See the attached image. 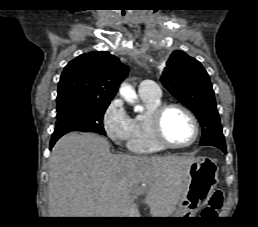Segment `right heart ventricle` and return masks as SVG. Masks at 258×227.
<instances>
[{
  "mask_svg": "<svg viewBox=\"0 0 258 227\" xmlns=\"http://www.w3.org/2000/svg\"><path fill=\"white\" fill-rule=\"evenodd\" d=\"M146 110L143 113L137 114L133 119V131L128 141L129 149L134 153L149 154L162 151L164 149L154 138L150 115L151 112L161 105L160 98L141 97Z\"/></svg>",
  "mask_w": 258,
  "mask_h": 227,
  "instance_id": "right-heart-ventricle-1",
  "label": "right heart ventricle"
}]
</instances>
